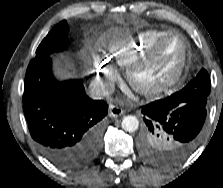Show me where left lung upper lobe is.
<instances>
[{"instance_id": "obj_1", "label": "left lung upper lobe", "mask_w": 223, "mask_h": 188, "mask_svg": "<svg viewBox=\"0 0 223 188\" xmlns=\"http://www.w3.org/2000/svg\"><path fill=\"white\" fill-rule=\"evenodd\" d=\"M210 88L209 74L205 69H201L193 80L182 90L167 97V100L180 105L191 103L206 107ZM175 148L176 144L168 134L159 130H142L140 153L146 161L156 165H171L179 160L175 155Z\"/></svg>"}]
</instances>
